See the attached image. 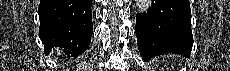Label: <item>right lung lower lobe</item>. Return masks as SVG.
<instances>
[{
	"instance_id": "obj_1",
	"label": "right lung lower lobe",
	"mask_w": 230,
	"mask_h": 71,
	"mask_svg": "<svg viewBox=\"0 0 230 71\" xmlns=\"http://www.w3.org/2000/svg\"><path fill=\"white\" fill-rule=\"evenodd\" d=\"M92 0H41L39 37L45 53L62 49L70 57H78L90 45L93 24Z\"/></svg>"
}]
</instances>
